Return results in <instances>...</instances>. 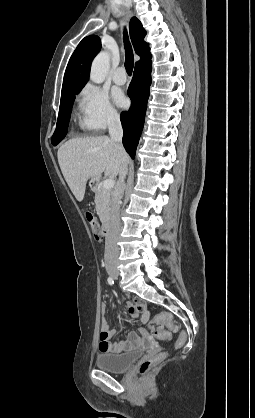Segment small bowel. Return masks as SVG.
Returning a JSON list of instances; mask_svg holds the SVG:
<instances>
[{"label":"small bowel","instance_id":"small-bowel-1","mask_svg":"<svg viewBox=\"0 0 255 418\" xmlns=\"http://www.w3.org/2000/svg\"><path fill=\"white\" fill-rule=\"evenodd\" d=\"M129 316L136 318L140 314L143 323H146L149 319V313L146 310V305L143 301L135 299L127 303ZM102 322L100 332L99 350L101 352L121 353L126 350L132 349L142 343L143 337L146 336V331L140 329V331L132 332L129 334L126 340L112 343L111 340L116 335L115 330H110L108 322L106 320V305L102 306Z\"/></svg>","mask_w":255,"mask_h":418}]
</instances>
